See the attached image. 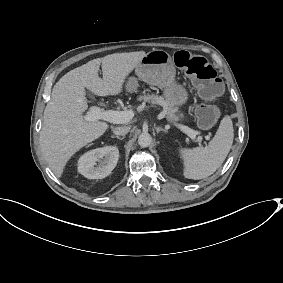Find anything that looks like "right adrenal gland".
I'll use <instances>...</instances> for the list:
<instances>
[{
    "label": "right adrenal gland",
    "mask_w": 283,
    "mask_h": 283,
    "mask_svg": "<svg viewBox=\"0 0 283 283\" xmlns=\"http://www.w3.org/2000/svg\"><path fill=\"white\" fill-rule=\"evenodd\" d=\"M111 138H117V139L123 140L125 138V136L119 137L117 135H111Z\"/></svg>",
    "instance_id": "right-adrenal-gland-1"
}]
</instances>
